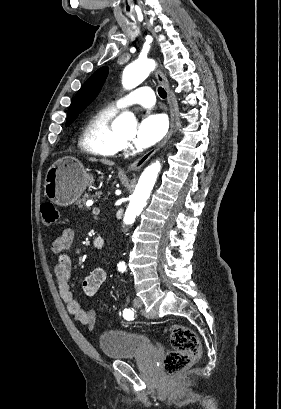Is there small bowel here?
<instances>
[{
  "label": "small bowel",
  "mask_w": 281,
  "mask_h": 409,
  "mask_svg": "<svg viewBox=\"0 0 281 409\" xmlns=\"http://www.w3.org/2000/svg\"><path fill=\"white\" fill-rule=\"evenodd\" d=\"M74 240V231L71 228H64L52 242V252L57 256L54 265V274L57 279L60 297L64 301L67 311L74 320L82 325L88 326L91 321L95 323L96 313L94 309H83L80 303L74 298L71 291V269L72 261L67 251ZM98 245V249L103 247L101 238L93 240V246ZM107 280V271L104 268H94L83 282V289L86 295L94 296L104 286Z\"/></svg>",
  "instance_id": "obj_1"
}]
</instances>
